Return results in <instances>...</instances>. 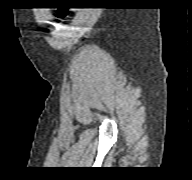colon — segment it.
Wrapping results in <instances>:
<instances>
[{"label": "colon", "instance_id": "obj_1", "mask_svg": "<svg viewBox=\"0 0 192 180\" xmlns=\"http://www.w3.org/2000/svg\"><path fill=\"white\" fill-rule=\"evenodd\" d=\"M58 15L60 19H65L68 16V10H59Z\"/></svg>", "mask_w": 192, "mask_h": 180}]
</instances>
